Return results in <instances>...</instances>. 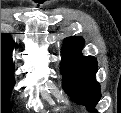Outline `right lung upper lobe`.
<instances>
[{"mask_svg": "<svg viewBox=\"0 0 121 113\" xmlns=\"http://www.w3.org/2000/svg\"><path fill=\"white\" fill-rule=\"evenodd\" d=\"M15 46L14 41L7 34H1V66L14 68L11 52Z\"/></svg>", "mask_w": 121, "mask_h": 113, "instance_id": "obj_1", "label": "right lung upper lobe"}]
</instances>
